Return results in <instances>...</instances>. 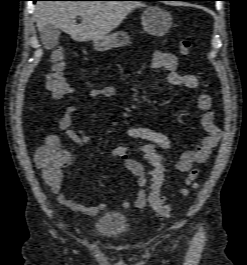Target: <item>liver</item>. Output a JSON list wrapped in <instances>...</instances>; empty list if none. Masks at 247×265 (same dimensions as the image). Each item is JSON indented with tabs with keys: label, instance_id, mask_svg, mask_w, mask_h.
Returning a JSON list of instances; mask_svg holds the SVG:
<instances>
[{
	"label": "liver",
	"instance_id": "liver-1",
	"mask_svg": "<svg viewBox=\"0 0 247 265\" xmlns=\"http://www.w3.org/2000/svg\"><path fill=\"white\" fill-rule=\"evenodd\" d=\"M143 4L135 1H38L34 19L39 31L51 24L78 42L105 37ZM81 16L82 22L76 23Z\"/></svg>",
	"mask_w": 247,
	"mask_h": 265
}]
</instances>
